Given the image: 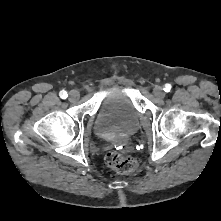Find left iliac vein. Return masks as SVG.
<instances>
[{
	"label": "left iliac vein",
	"mask_w": 221,
	"mask_h": 221,
	"mask_svg": "<svg viewBox=\"0 0 221 221\" xmlns=\"http://www.w3.org/2000/svg\"><path fill=\"white\" fill-rule=\"evenodd\" d=\"M153 93L157 98H163L165 96V92H164L163 88L160 86H156L153 89Z\"/></svg>",
	"instance_id": "4c4485c4"
}]
</instances>
